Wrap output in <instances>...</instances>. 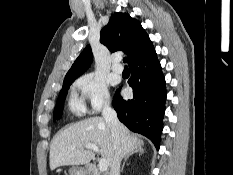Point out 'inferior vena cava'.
Instances as JSON below:
<instances>
[{
  "label": "inferior vena cava",
  "mask_w": 233,
  "mask_h": 175,
  "mask_svg": "<svg viewBox=\"0 0 233 175\" xmlns=\"http://www.w3.org/2000/svg\"><path fill=\"white\" fill-rule=\"evenodd\" d=\"M102 116L111 127V133L115 139V144L117 147L116 156L114 158L113 164L111 165L110 175H120V162L122 153V148L120 146V123L118 121L116 111L110 107L109 103L105 104L102 111Z\"/></svg>",
  "instance_id": "inferior-vena-cava-1"
}]
</instances>
